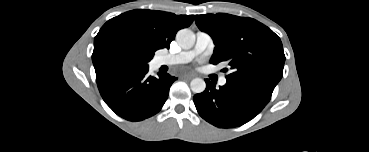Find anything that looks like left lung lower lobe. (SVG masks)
I'll list each match as a JSON object with an SVG mask.
<instances>
[{
    "mask_svg": "<svg viewBox=\"0 0 369 152\" xmlns=\"http://www.w3.org/2000/svg\"><path fill=\"white\" fill-rule=\"evenodd\" d=\"M206 89L193 98L199 115L219 128L239 127L259 114L270 101L273 87L227 80L215 88L205 80Z\"/></svg>",
    "mask_w": 369,
    "mask_h": 152,
    "instance_id": "0a47b994",
    "label": "left lung lower lobe"
}]
</instances>
